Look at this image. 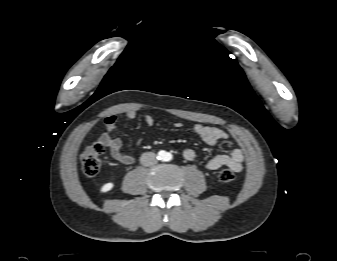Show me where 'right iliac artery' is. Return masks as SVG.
<instances>
[{
	"label": "right iliac artery",
	"mask_w": 337,
	"mask_h": 261,
	"mask_svg": "<svg viewBox=\"0 0 337 261\" xmlns=\"http://www.w3.org/2000/svg\"><path fill=\"white\" fill-rule=\"evenodd\" d=\"M159 155H160V156H163V155H164V152H163V151H161V152L159 153Z\"/></svg>",
	"instance_id": "82829eb1"
}]
</instances>
